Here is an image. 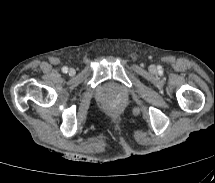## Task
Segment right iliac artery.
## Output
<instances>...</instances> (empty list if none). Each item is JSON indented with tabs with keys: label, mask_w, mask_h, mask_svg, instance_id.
Returning <instances> with one entry per match:
<instances>
[{
	"label": "right iliac artery",
	"mask_w": 215,
	"mask_h": 183,
	"mask_svg": "<svg viewBox=\"0 0 215 183\" xmlns=\"http://www.w3.org/2000/svg\"><path fill=\"white\" fill-rule=\"evenodd\" d=\"M62 71H63L64 73H67V72H68V68H67V67H63V68H62Z\"/></svg>",
	"instance_id": "obj_1"
}]
</instances>
